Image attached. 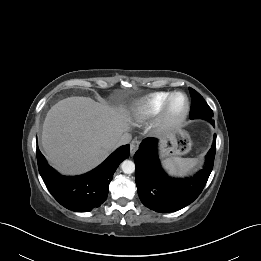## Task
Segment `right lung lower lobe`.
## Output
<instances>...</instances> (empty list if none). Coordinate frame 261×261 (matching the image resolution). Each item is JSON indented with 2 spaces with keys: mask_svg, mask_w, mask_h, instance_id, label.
Instances as JSON below:
<instances>
[{
  "mask_svg": "<svg viewBox=\"0 0 261 261\" xmlns=\"http://www.w3.org/2000/svg\"><path fill=\"white\" fill-rule=\"evenodd\" d=\"M36 153L39 172L49 192L62 206L76 212L91 211L106 200L114 172L130 155L129 145L121 146L94 170L67 177L49 166L39 149Z\"/></svg>",
  "mask_w": 261,
  "mask_h": 261,
  "instance_id": "obj_1",
  "label": "right lung lower lobe"
}]
</instances>
